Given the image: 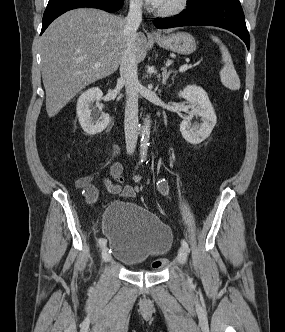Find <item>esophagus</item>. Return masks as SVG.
I'll return each mask as SVG.
<instances>
[{"label": "esophagus", "instance_id": "esophagus-1", "mask_svg": "<svg viewBox=\"0 0 285 332\" xmlns=\"http://www.w3.org/2000/svg\"><path fill=\"white\" fill-rule=\"evenodd\" d=\"M150 35H151L152 37H159V36H160V33H159L158 31L152 29Z\"/></svg>", "mask_w": 285, "mask_h": 332}]
</instances>
